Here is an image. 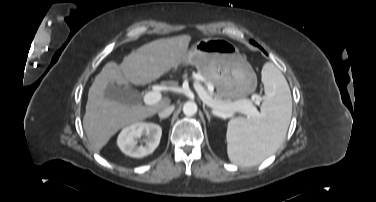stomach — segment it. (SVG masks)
Wrapping results in <instances>:
<instances>
[{"label": "stomach", "mask_w": 376, "mask_h": 202, "mask_svg": "<svg viewBox=\"0 0 376 202\" xmlns=\"http://www.w3.org/2000/svg\"><path fill=\"white\" fill-rule=\"evenodd\" d=\"M183 63L195 66L215 86L222 98H242L256 89V75L252 66L238 48L226 39L198 41L187 52Z\"/></svg>", "instance_id": "0dacf381"}]
</instances>
